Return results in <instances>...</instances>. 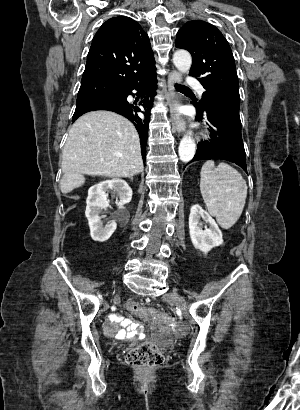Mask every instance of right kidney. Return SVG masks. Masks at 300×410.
<instances>
[{"mask_svg":"<svg viewBox=\"0 0 300 410\" xmlns=\"http://www.w3.org/2000/svg\"><path fill=\"white\" fill-rule=\"evenodd\" d=\"M109 190H112L119 197V200H116V204L120 207L128 204L132 199V190L127 182L122 179L105 180L88 190L85 215L88 219L90 235L94 241L104 242L108 240L117 227L114 220L108 221L104 225L101 220L102 217L99 215L101 209L109 207L107 202Z\"/></svg>","mask_w":300,"mask_h":410,"instance_id":"right-kidney-1","label":"right kidney"}]
</instances>
